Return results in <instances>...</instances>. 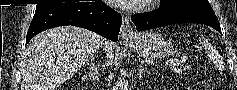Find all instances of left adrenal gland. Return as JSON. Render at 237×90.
Returning a JSON list of instances; mask_svg holds the SVG:
<instances>
[{
	"mask_svg": "<svg viewBox=\"0 0 237 90\" xmlns=\"http://www.w3.org/2000/svg\"><path fill=\"white\" fill-rule=\"evenodd\" d=\"M142 74H145V70L143 68V62H141V64H139V70H138V78L140 80Z\"/></svg>",
	"mask_w": 237,
	"mask_h": 90,
	"instance_id": "1",
	"label": "left adrenal gland"
}]
</instances>
